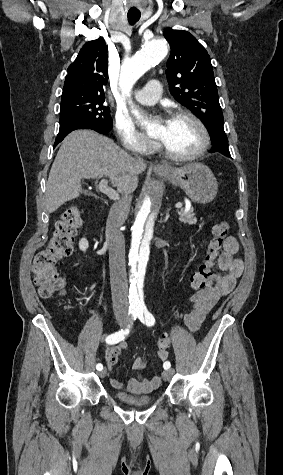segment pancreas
I'll use <instances>...</instances> for the list:
<instances>
[{
  "mask_svg": "<svg viewBox=\"0 0 283 475\" xmlns=\"http://www.w3.org/2000/svg\"><path fill=\"white\" fill-rule=\"evenodd\" d=\"M179 214V220L180 222H183V224H196L197 218H195L194 214V208H190L188 212H185V208H181V210H177Z\"/></svg>",
  "mask_w": 283,
  "mask_h": 475,
  "instance_id": "1",
  "label": "pancreas"
}]
</instances>
